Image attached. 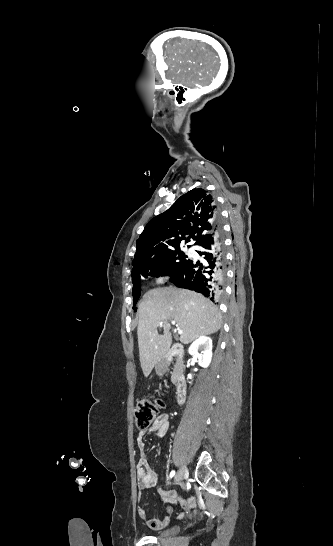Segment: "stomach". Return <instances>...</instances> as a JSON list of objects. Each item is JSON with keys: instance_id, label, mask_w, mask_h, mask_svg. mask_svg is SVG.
<instances>
[{"instance_id": "stomach-1", "label": "stomach", "mask_w": 333, "mask_h": 546, "mask_svg": "<svg viewBox=\"0 0 333 546\" xmlns=\"http://www.w3.org/2000/svg\"><path fill=\"white\" fill-rule=\"evenodd\" d=\"M168 366H169V362L167 361L165 357L160 359L155 365V370L157 375L163 376L166 373Z\"/></svg>"}]
</instances>
